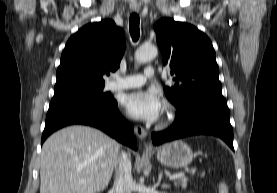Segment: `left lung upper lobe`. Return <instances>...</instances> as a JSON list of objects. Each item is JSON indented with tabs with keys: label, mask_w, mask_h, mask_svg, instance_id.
<instances>
[{
	"label": "left lung upper lobe",
	"mask_w": 277,
	"mask_h": 193,
	"mask_svg": "<svg viewBox=\"0 0 277 193\" xmlns=\"http://www.w3.org/2000/svg\"><path fill=\"white\" fill-rule=\"evenodd\" d=\"M154 30L163 63L170 66L174 77L164 91L178 112L197 96L221 92L216 54L204 33L170 18L158 21Z\"/></svg>",
	"instance_id": "left-lung-upper-lobe-1"
}]
</instances>
